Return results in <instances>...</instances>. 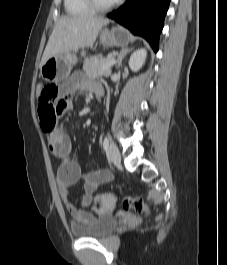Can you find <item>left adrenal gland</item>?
Segmentation results:
<instances>
[{
	"instance_id": "a2214340",
	"label": "left adrenal gland",
	"mask_w": 227,
	"mask_h": 265,
	"mask_svg": "<svg viewBox=\"0 0 227 265\" xmlns=\"http://www.w3.org/2000/svg\"><path fill=\"white\" fill-rule=\"evenodd\" d=\"M132 49H122L117 57V66L116 68L119 69L122 60L124 58L125 55H127V53H129Z\"/></svg>"
}]
</instances>
